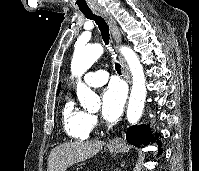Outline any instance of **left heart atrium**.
I'll use <instances>...</instances> for the list:
<instances>
[{"instance_id":"obj_1","label":"left heart atrium","mask_w":199,"mask_h":171,"mask_svg":"<svg viewBox=\"0 0 199 171\" xmlns=\"http://www.w3.org/2000/svg\"><path fill=\"white\" fill-rule=\"evenodd\" d=\"M126 101V90L119 82L110 84L102 93L101 114L109 122L116 121L122 114Z\"/></svg>"}]
</instances>
